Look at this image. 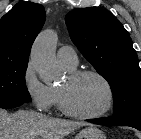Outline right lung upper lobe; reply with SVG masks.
<instances>
[{
	"label": "right lung upper lobe",
	"instance_id": "right-lung-upper-lobe-1",
	"mask_svg": "<svg viewBox=\"0 0 141 139\" xmlns=\"http://www.w3.org/2000/svg\"><path fill=\"white\" fill-rule=\"evenodd\" d=\"M44 22L42 5L17 3L0 19V62H28L31 46Z\"/></svg>",
	"mask_w": 141,
	"mask_h": 139
}]
</instances>
